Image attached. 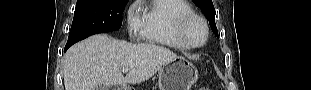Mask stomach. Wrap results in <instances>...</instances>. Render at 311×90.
Segmentation results:
<instances>
[{"mask_svg": "<svg viewBox=\"0 0 311 90\" xmlns=\"http://www.w3.org/2000/svg\"><path fill=\"white\" fill-rule=\"evenodd\" d=\"M159 90H190L198 80L196 67L183 57L163 65L158 73Z\"/></svg>", "mask_w": 311, "mask_h": 90, "instance_id": "1", "label": "stomach"}]
</instances>
